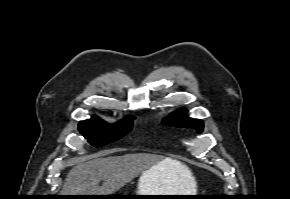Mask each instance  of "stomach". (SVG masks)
Segmentation results:
<instances>
[{
    "mask_svg": "<svg viewBox=\"0 0 290 199\" xmlns=\"http://www.w3.org/2000/svg\"><path fill=\"white\" fill-rule=\"evenodd\" d=\"M136 195H176L169 189V180L167 176H159L158 166H152L143 172L138 181ZM140 196L139 198H144ZM152 199H185L180 197H151Z\"/></svg>",
    "mask_w": 290,
    "mask_h": 199,
    "instance_id": "stomach-1",
    "label": "stomach"
}]
</instances>
